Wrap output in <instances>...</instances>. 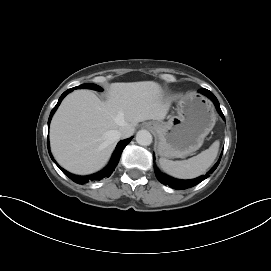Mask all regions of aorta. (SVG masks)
Instances as JSON below:
<instances>
[{
    "mask_svg": "<svg viewBox=\"0 0 271 271\" xmlns=\"http://www.w3.org/2000/svg\"><path fill=\"white\" fill-rule=\"evenodd\" d=\"M152 135L147 130H139L136 134V141L139 145L149 146L152 143Z\"/></svg>",
    "mask_w": 271,
    "mask_h": 271,
    "instance_id": "aorta-1",
    "label": "aorta"
}]
</instances>
